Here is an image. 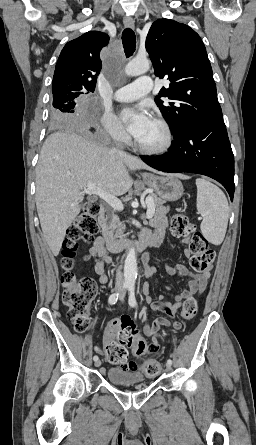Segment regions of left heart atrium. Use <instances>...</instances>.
<instances>
[{
  "label": "left heart atrium",
  "instance_id": "39dd6f15",
  "mask_svg": "<svg viewBox=\"0 0 256 445\" xmlns=\"http://www.w3.org/2000/svg\"><path fill=\"white\" fill-rule=\"evenodd\" d=\"M120 116L126 122L129 133L135 138L139 137L152 121L150 114L141 106L126 108Z\"/></svg>",
  "mask_w": 256,
  "mask_h": 445
}]
</instances>
